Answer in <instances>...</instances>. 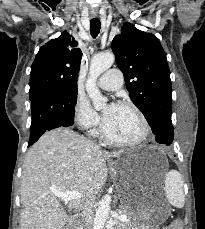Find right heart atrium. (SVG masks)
<instances>
[{
	"label": "right heart atrium",
	"mask_w": 205,
	"mask_h": 229,
	"mask_svg": "<svg viewBox=\"0 0 205 229\" xmlns=\"http://www.w3.org/2000/svg\"><path fill=\"white\" fill-rule=\"evenodd\" d=\"M73 119L83 130L94 132L101 123L98 113L92 108L89 101L81 95L76 97L73 106Z\"/></svg>",
	"instance_id": "d8ad5b80"
}]
</instances>
